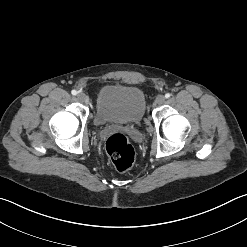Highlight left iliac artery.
I'll list each match as a JSON object with an SVG mask.
<instances>
[{
  "label": "left iliac artery",
  "mask_w": 247,
  "mask_h": 247,
  "mask_svg": "<svg viewBox=\"0 0 247 247\" xmlns=\"http://www.w3.org/2000/svg\"><path fill=\"white\" fill-rule=\"evenodd\" d=\"M171 94L170 93H166L165 94V98H170Z\"/></svg>",
  "instance_id": "obj_1"
}]
</instances>
